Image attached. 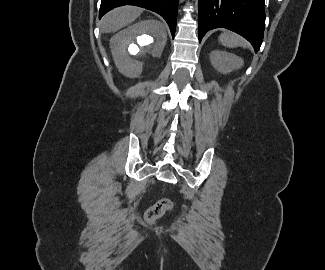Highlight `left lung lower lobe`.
Listing matches in <instances>:
<instances>
[{"label": "left lung lower lobe", "mask_w": 325, "mask_h": 270, "mask_svg": "<svg viewBox=\"0 0 325 270\" xmlns=\"http://www.w3.org/2000/svg\"><path fill=\"white\" fill-rule=\"evenodd\" d=\"M198 38L211 29L226 28L246 38L260 49L265 26L264 0H198Z\"/></svg>", "instance_id": "1"}]
</instances>
